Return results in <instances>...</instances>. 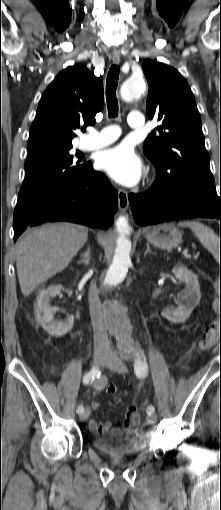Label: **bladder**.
<instances>
[{"label": "bladder", "instance_id": "1", "mask_svg": "<svg viewBox=\"0 0 221 510\" xmlns=\"http://www.w3.org/2000/svg\"><path fill=\"white\" fill-rule=\"evenodd\" d=\"M93 444L98 451L111 456H133L147 448L144 438L139 436L107 435L94 438Z\"/></svg>", "mask_w": 221, "mask_h": 510}]
</instances>
